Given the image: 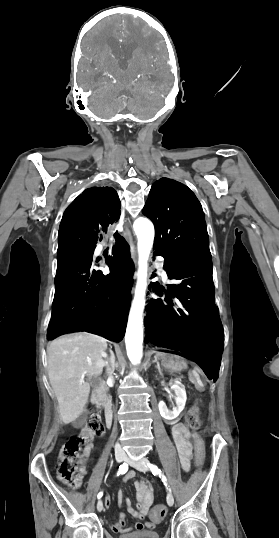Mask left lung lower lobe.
Wrapping results in <instances>:
<instances>
[{
	"mask_svg": "<svg viewBox=\"0 0 279 538\" xmlns=\"http://www.w3.org/2000/svg\"><path fill=\"white\" fill-rule=\"evenodd\" d=\"M169 279L178 280L167 290L158 282L149 288L165 300L151 299L145 310L146 341L182 351L198 361L208 379L218 376L223 351V327L215 306L212 262H182L164 256Z\"/></svg>",
	"mask_w": 279,
	"mask_h": 538,
	"instance_id": "left-lung-lower-lobe-1",
	"label": "left lung lower lobe"
}]
</instances>
